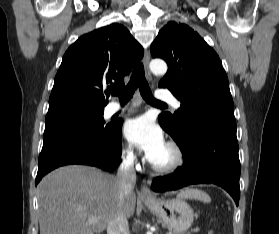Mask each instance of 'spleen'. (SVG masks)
<instances>
[{"label":"spleen","mask_w":279,"mask_h":234,"mask_svg":"<svg viewBox=\"0 0 279 234\" xmlns=\"http://www.w3.org/2000/svg\"><path fill=\"white\" fill-rule=\"evenodd\" d=\"M179 198L181 199H197L199 201H202V202H205V203H209L211 201V198L210 196L205 193L204 191L202 190H199V189H189V190H186V191H183L181 192L179 195H178Z\"/></svg>","instance_id":"obj_1"}]
</instances>
